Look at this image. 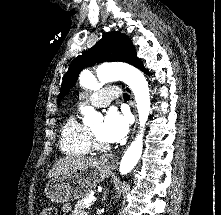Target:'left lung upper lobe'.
Listing matches in <instances>:
<instances>
[{
  "label": "left lung upper lobe",
  "mask_w": 221,
  "mask_h": 215,
  "mask_svg": "<svg viewBox=\"0 0 221 215\" xmlns=\"http://www.w3.org/2000/svg\"><path fill=\"white\" fill-rule=\"evenodd\" d=\"M104 61H122L144 70L142 62L137 58L136 50L125 34L118 31L105 33L95 46L75 58L70 65L61 85L58 104L76 83L79 73L86 66Z\"/></svg>",
  "instance_id": "left-lung-upper-lobe-1"
}]
</instances>
